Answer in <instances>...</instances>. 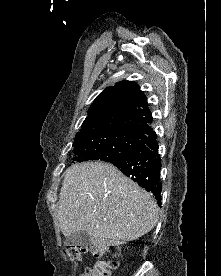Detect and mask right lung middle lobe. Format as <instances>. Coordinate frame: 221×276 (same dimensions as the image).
<instances>
[{
	"label": "right lung middle lobe",
	"instance_id": "right-lung-middle-lobe-1",
	"mask_svg": "<svg viewBox=\"0 0 221 276\" xmlns=\"http://www.w3.org/2000/svg\"><path fill=\"white\" fill-rule=\"evenodd\" d=\"M144 138L126 133H107L74 141L72 161L103 160L111 162L127 156L143 143Z\"/></svg>",
	"mask_w": 221,
	"mask_h": 276
}]
</instances>
